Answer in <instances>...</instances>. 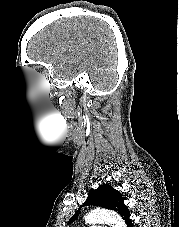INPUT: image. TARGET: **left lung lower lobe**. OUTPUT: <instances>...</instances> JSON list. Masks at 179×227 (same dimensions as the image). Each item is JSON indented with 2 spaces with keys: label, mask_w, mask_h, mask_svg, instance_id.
I'll list each match as a JSON object with an SVG mask.
<instances>
[{
  "label": "left lung lower lobe",
  "mask_w": 179,
  "mask_h": 227,
  "mask_svg": "<svg viewBox=\"0 0 179 227\" xmlns=\"http://www.w3.org/2000/svg\"><path fill=\"white\" fill-rule=\"evenodd\" d=\"M127 227H133L132 222L128 223Z\"/></svg>",
  "instance_id": "left-lung-lower-lobe-1"
}]
</instances>
